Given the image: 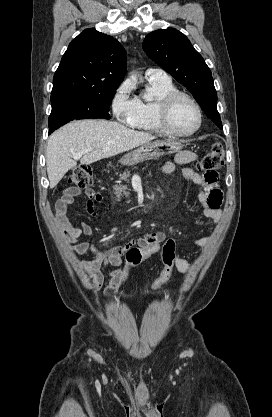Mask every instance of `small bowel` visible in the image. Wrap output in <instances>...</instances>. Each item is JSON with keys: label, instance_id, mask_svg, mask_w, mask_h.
Returning a JSON list of instances; mask_svg holds the SVG:
<instances>
[{"label": "small bowel", "instance_id": "1", "mask_svg": "<svg viewBox=\"0 0 272 417\" xmlns=\"http://www.w3.org/2000/svg\"><path fill=\"white\" fill-rule=\"evenodd\" d=\"M197 159V155L190 151H182L178 153L173 161H168L162 167V171L166 175L177 173V165H185ZM180 176L191 181L198 188L197 201L202 206V213L205 217L217 222L220 218V206L222 203V192L218 187V173L200 175L191 168H183ZM83 194L88 198L86 204L87 212L95 216L94 202H101L102 195L88 187L81 190L77 187H67L64 189L61 198L55 205V216L60 224L65 239L70 243L71 250L75 254H91L93 259L81 262V267L85 274L92 280L90 290L99 291L104 286V274L101 267L108 269L110 276L109 284L104 289L105 297H109L117 291L123 269L122 256L132 248L143 241L152 239H164L166 234L162 231H154L146 233L140 237L134 238L126 242L124 245L114 246L110 248H100L96 243L82 240V237H91L93 235L92 227L87 223H74L66 216L68 207L74 202L75 197ZM210 239L208 237H199L192 240V243L199 247L208 245ZM191 268L190 263L181 255L175 258V269L180 274H186Z\"/></svg>", "mask_w": 272, "mask_h": 417}]
</instances>
